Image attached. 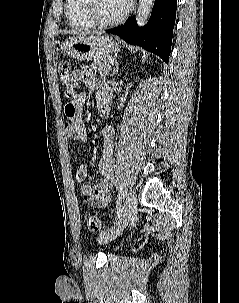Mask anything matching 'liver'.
Instances as JSON below:
<instances>
[{"label": "liver", "mask_w": 239, "mask_h": 303, "mask_svg": "<svg viewBox=\"0 0 239 303\" xmlns=\"http://www.w3.org/2000/svg\"><path fill=\"white\" fill-rule=\"evenodd\" d=\"M74 35H75V34H74ZM82 35H84V36H85L86 34H85V33H83ZM92 35H93V34H92Z\"/></svg>", "instance_id": "liver-1"}]
</instances>
